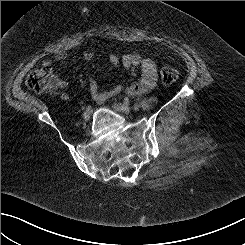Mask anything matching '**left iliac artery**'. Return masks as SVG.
I'll list each match as a JSON object with an SVG mask.
<instances>
[{"label": "left iliac artery", "instance_id": "obj_1", "mask_svg": "<svg viewBox=\"0 0 245 245\" xmlns=\"http://www.w3.org/2000/svg\"><path fill=\"white\" fill-rule=\"evenodd\" d=\"M130 99L128 98V97H126V98H124V100H123V103L125 104V105H129L130 104Z\"/></svg>", "mask_w": 245, "mask_h": 245}]
</instances>
